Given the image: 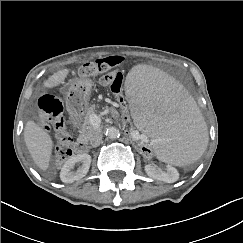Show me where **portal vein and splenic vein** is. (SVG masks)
I'll list each match as a JSON object with an SVG mask.
<instances>
[{
    "mask_svg": "<svg viewBox=\"0 0 243 243\" xmlns=\"http://www.w3.org/2000/svg\"><path fill=\"white\" fill-rule=\"evenodd\" d=\"M91 122L93 123V125L97 126L100 123V116L92 114Z\"/></svg>",
    "mask_w": 243,
    "mask_h": 243,
    "instance_id": "1",
    "label": "portal vein and splenic vein"
}]
</instances>
